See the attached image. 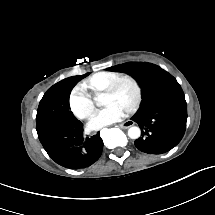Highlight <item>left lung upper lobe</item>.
I'll use <instances>...</instances> for the list:
<instances>
[{"mask_svg":"<svg viewBox=\"0 0 215 215\" xmlns=\"http://www.w3.org/2000/svg\"><path fill=\"white\" fill-rule=\"evenodd\" d=\"M108 69L131 73L142 88L141 107L132 117L142 135L135 146L148 154L174 148L185 133L187 121V104L176 79L149 63H125Z\"/></svg>","mask_w":215,"mask_h":215,"instance_id":"1","label":"left lung upper lobe"}]
</instances>
